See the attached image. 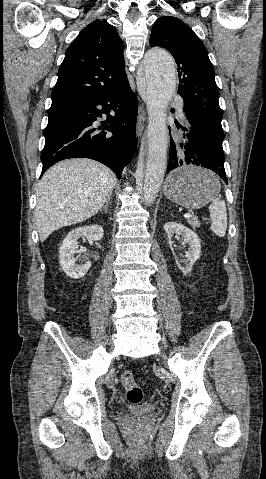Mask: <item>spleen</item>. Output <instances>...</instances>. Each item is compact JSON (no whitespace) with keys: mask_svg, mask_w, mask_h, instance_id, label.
I'll return each instance as SVG.
<instances>
[{"mask_svg":"<svg viewBox=\"0 0 266 479\" xmlns=\"http://www.w3.org/2000/svg\"><path fill=\"white\" fill-rule=\"evenodd\" d=\"M209 211L212 222L211 231L219 237H224L227 229V209L225 202L221 200V196L212 202Z\"/></svg>","mask_w":266,"mask_h":479,"instance_id":"3e777b00","label":"spleen"}]
</instances>
